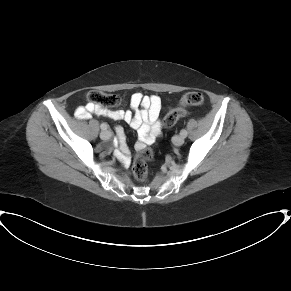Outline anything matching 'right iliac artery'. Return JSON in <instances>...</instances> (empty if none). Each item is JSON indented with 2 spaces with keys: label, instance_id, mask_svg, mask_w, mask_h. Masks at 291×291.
Returning a JSON list of instances; mask_svg holds the SVG:
<instances>
[{
  "label": "right iliac artery",
  "instance_id": "82829eb1",
  "mask_svg": "<svg viewBox=\"0 0 291 291\" xmlns=\"http://www.w3.org/2000/svg\"><path fill=\"white\" fill-rule=\"evenodd\" d=\"M101 129H102V130H106V129H107V125H106L105 123H102V124H101Z\"/></svg>",
  "mask_w": 291,
  "mask_h": 291
}]
</instances>
